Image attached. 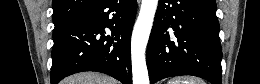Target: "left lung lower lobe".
I'll return each instance as SVG.
<instances>
[{
  "instance_id": "1",
  "label": "left lung lower lobe",
  "mask_w": 260,
  "mask_h": 84,
  "mask_svg": "<svg viewBox=\"0 0 260 84\" xmlns=\"http://www.w3.org/2000/svg\"><path fill=\"white\" fill-rule=\"evenodd\" d=\"M215 0H159L147 49L150 83L179 75L221 84Z\"/></svg>"
}]
</instances>
